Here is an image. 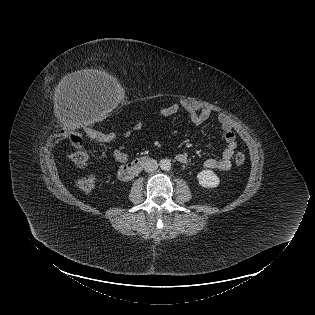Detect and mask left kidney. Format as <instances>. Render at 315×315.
Masks as SVG:
<instances>
[{"instance_id": "1", "label": "left kidney", "mask_w": 315, "mask_h": 315, "mask_svg": "<svg viewBox=\"0 0 315 315\" xmlns=\"http://www.w3.org/2000/svg\"><path fill=\"white\" fill-rule=\"evenodd\" d=\"M199 184L205 188H214L219 185V178L212 170H202L197 174Z\"/></svg>"}]
</instances>
